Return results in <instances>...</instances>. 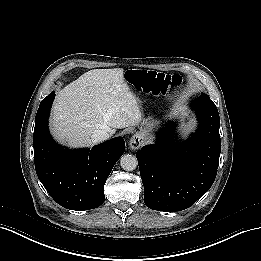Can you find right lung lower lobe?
<instances>
[{
  "mask_svg": "<svg viewBox=\"0 0 261 261\" xmlns=\"http://www.w3.org/2000/svg\"><path fill=\"white\" fill-rule=\"evenodd\" d=\"M55 91L45 97L35 117L34 162L39 180L59 205L83 211L99 207L105 199L104 184L125 150L122 137L91 150H68L57 145L48 130Z\"/></svg>",
  "mask_w": 261,
  "mask_h": 261,
  "instance_id": "right-lung-lower-lobe-1",
  "label": "right lung lower lobe"
}]
</instances>
